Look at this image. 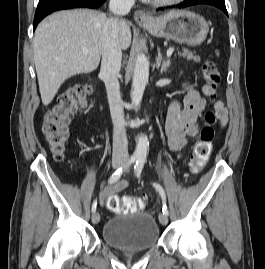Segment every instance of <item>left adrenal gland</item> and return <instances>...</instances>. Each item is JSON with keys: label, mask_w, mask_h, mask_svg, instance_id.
I'll return each mask as SVG.
<instances>
[{"label": "left adrenal gland", "mask_w": 265, "mask_h": 269, "mask_svg": "<svg viewBox=\"0 0 265 269\" xmlns=\"http://www.w3.org/2000/svg\"><path fill=\"white\" fill-rule=\"evenodd\" d=\"M170 60L169 59H162L161 51L158 49V56L156 58V67L160 70V73L166 72L167 69L170 67Z\"/></svg>", "instance_id": "1"}]
</instances>
